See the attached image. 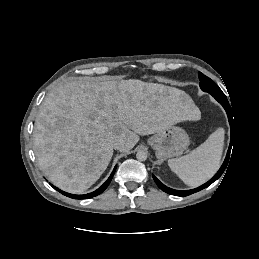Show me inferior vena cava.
I'll use <instances>...</instances> for the list:
<instances>
[{
	"label": "inferior vena cava",
	"mask_w": 259,
	"mask_h": 259,
	"mask_svg": "<svg viewBox=\"0 0 259 259\" xmlns=\"http://www.w3.org/2000/svg\"><path fill=\"white\" fill-rule=\"evenodd\" d=\"M123 146V142L122 140L120 139H115L113 142H112V147L114 149H117V150H120Z\"/></svg>",
	"instance_id": "obj_1"
}]
</instances>
